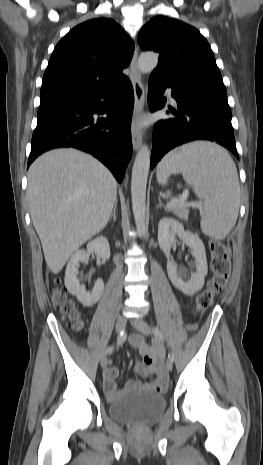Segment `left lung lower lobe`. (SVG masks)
<instances>
[{"label":"left lung lower lobe","instance_id":"1","mask_svg":"<svg viewBox=\"0 0 263 465\" xmlns=\"http://www.w3.org/2000/svg\"><path fill=\"white\" fill-rule=\"evenodd\" d=\"M167 87L172 88L178 110H170L175 118L160 120L154 126L151 169L168 151L194 140L216 142L239 159L227 96L210 93L190 81H171L151 74L148 93L151 111L164 106L163 92Z\"/></svg>","mask_w":263,"mask_h":465}]
</instances>
